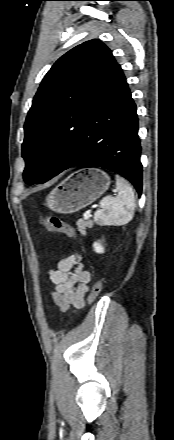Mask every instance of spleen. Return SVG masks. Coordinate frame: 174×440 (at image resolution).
Instances as JSON below:
<instances>
[{"label": "spleen", "instance_id": "1", "mask_svg": "<svg viewBox=\"0 0 174 440\" xmlns=\"http://www.w3.org/2000/svg\"><path fill=\"white\" fill-rule=\"evenodd\" d=\"M115 197L106 196L100 201L101 209L94 213V221L101 226L127 225L134 215L135 196L130 184L122 177L116 176Z\"/></svg>", "mask_w": 174, "mask_h": 440}]
</instances>
